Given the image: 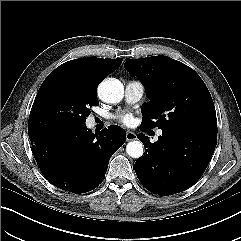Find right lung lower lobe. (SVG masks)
Listing matches in <instances>:
<instances>
[{"mask_svg":"<svg viewBox=\"0 0 241 241\" xmlns=\"http://www.w3.org/2000/svg\"><path fill=\"white\" fill-rule=\"evenodd\" d=\"M117 125L92 133L86 125L29 135L34 158L54 186L72 193L95 189L111 156L125 143Z\"/></svg>","mask_w":241,"mask_h":241,"instance_id":"right-lung-lower-lobe-1","label":"right lung lower lobe"}]
</instances>
